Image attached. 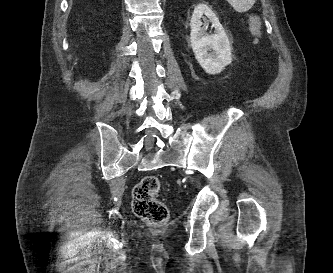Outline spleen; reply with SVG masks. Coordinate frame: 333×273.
Returning a JSON list of instances; mask_svg holds the SVG:
<instances>
[{"instance_id": "3e777b00", "label": "spleen", "mask_w": 333, "mask_h": 273, "mask_svg": "<svg viewBox=\"0 0 333 273\" xmlns=\"http://www.w3.org/2000/svg\"><path fill=\"white\" fill-rule=\"evenodd\" d=\"M256 0H227V2L237 11L245 12L252 8Z\"/></svg>"}]
</instances>
